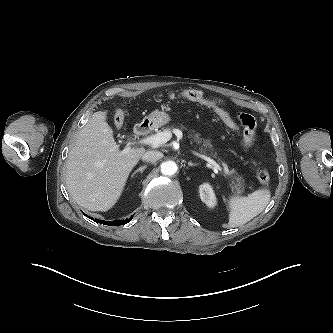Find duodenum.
Returning a JSON list of instances; mask_svg holds the SVG:
<instances>
[{"label": "duodenum", "mask_w": 333, "mask_h": 333, "mask_svg": "<svg viewBox=\"0 0 333 333\" xmlns=\"http://www.w3.org/2000/svg\"><path fill=\"white\" fill-rule=\"evenodd\" d=\"M148 130L149 125L147 123H140L135 127L134 132L136 135H144L148 132Z\"/></svg>", "instance_id": "duodenum-1"}]
</instances>
